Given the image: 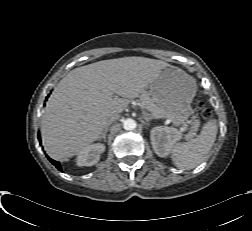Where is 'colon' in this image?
I'll return each instance as SVG.
<instances>
[{"label": "colon", "mask_w": 252, "mask_h": 231, "mask_svg": "<svg viewBox=\"0 0 252 231\" xmlns=\"http://www.w3.org/2000/svg\"><path fill=\"white\" fill-rule=\"evenodd\" d=\"M196 108L203 119H209L211 117L212 115L211 110L208 107H206L203 101H198L196 103Z\"/></svg>", "instance_id": "obj_1"}]
</instances>
